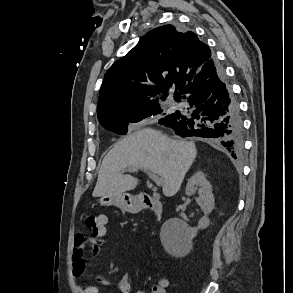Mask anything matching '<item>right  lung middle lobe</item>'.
<instances>
[{
	"label": "right lung middle lobe",
	"instance_id": "right-lung-middle-lobe-1",
	"mask_svg": "<svg viewBox=\"0 0 293 293\" xmlns=\"http://www.w3.org/2000/svg\"><path fill=\"white\" fill-rule=\"evenodd\" d=\"M169 114V112H166L160 108L159 103H156L148 108L132 112L110 113L105 116L99 117L98 120L100 124L106 129L113 130L116 133L125 134L128 131V121L137 122L148 116L160 115L165 117Z\"/></svg>",
	"mask_w": 293,
	"mask_h": 293
}]
</instances>
